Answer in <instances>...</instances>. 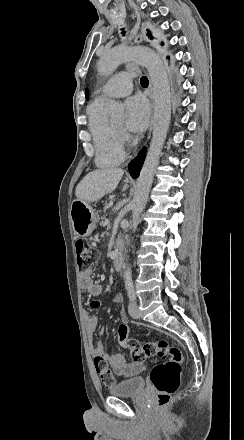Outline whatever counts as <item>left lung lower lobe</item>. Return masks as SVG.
<instances>
[{
  "label": "left lung lower lobe",
  "mask_w": 244,
  "mask_h": 440,
  "mask_svg": "<svg viewBox=\"0 0 244 440\" xmlns=\"http://www.w3.org/2000/svg\"><path fill=\"white\" fill-rule=\"evenodd\" d=\"M172 88L175 94L176 102H179V95L181 93V83L179 81V75L177 72H174L172 76Z\"/></svg>",
  "instance_id": "1"
}]
</instances>
